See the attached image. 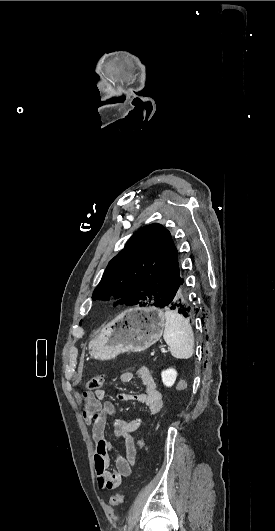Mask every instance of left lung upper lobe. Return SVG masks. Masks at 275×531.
I'll use <instances>...</instances> for the list:
<instances>
[{
  "label": "left lung upper lobe",
  "instance_id": "left-lung-upper-lobe-1",
  "mask_svg": "<svg viewBox=\"0 0 275 531\" xmlns=\"http://www.w3.org/2000/svg\"><path fill=\"white\" fill-rule=\"evenodd\" d=\"M181 279L171 234L154 223L136 231L109 262L92 298L114 300L115 306L165 307Z\"/></svg>",
  "mask_w": 275,
  "mask_h": 531
}]
</instances>
